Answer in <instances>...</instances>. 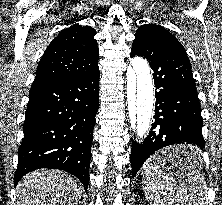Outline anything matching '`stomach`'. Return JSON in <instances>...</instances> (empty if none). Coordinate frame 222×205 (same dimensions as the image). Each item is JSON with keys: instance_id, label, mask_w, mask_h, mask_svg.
Segmentation results:
<instances>
[{"instance_id": "obj_1", "label": "stomach", "mask_w": 222, "mask_h": 205, "mask_svg": "<svg viewBox=\"0 0 222 205\" xmlns=\"http://www.w3.org/2000/svg\"><path fill=\"white\" fill-rule=\"evenodd\" d=\"M196 148L191 145H175L167 147L163 150H161L158 154L163 157H172L177 153L185 152V151H194ZM168 163H165V168H167L171 173H173L174 177L177 179L179 176L186 177L189 174L194 172H200L202 170V162L201 160L197 161L196 163L190 164V165H167Z\"/></svg>"}]
</instances>
